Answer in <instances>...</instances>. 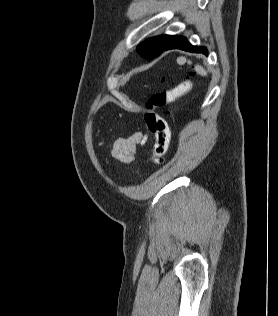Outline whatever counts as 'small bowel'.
<instances>
[{
    "label": "small bowel",
    "mask_w": 278,
    "mask_h": 316,
    "mask_svg": "<svg viewBox=\"0 0 278 316\" xmlns=\"http://www.w3.org/2000/svg\"><path fill=\"white\" fill-rule=\"evenodd\" d=\"M147 141V135L137 131L128 137H118L109 144V153L117 161L130 164L135 160V154L140 146Z\"/></svg>",
    "instance_id": "obj_1"
}]
</instances>
